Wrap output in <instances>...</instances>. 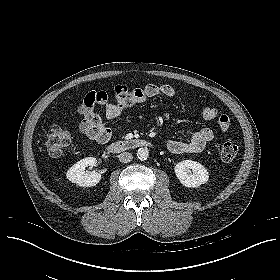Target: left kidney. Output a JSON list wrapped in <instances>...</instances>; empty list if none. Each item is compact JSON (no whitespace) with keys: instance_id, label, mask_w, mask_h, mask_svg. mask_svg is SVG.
<instances>
[{"instance_id":"5707ae66","label":"left kidney","mask_w":280,"mask_h":280,"mask_svg":"<svg viewBox=\"0 0 280 280\" xmlns=\"http://www.w3.org/2000/svg\"><path fill=\"white\" fill-rule=\"evenodd\" d=\"M175 174L181 184L188 188H196L208 181L207 169L199 162L184 160L176 164Z\"/></svg>"}]
</instances>
